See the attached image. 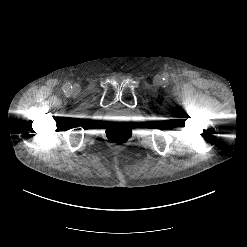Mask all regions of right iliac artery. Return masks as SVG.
<instances>
[{"mask_svg": "<svg viewBox=\"0 0 247 247\" xmlns=\"http://www.w3.org/2000/svg\"><path fill=\"white\" fill-rule=\"evenodd\" d=\"M71 88V85L69 83L65 84L63 89L64 91H68Z\"/></svg>", "mask_w": 247, "mask_h": 247, "instance_id": "1", "label": "right iliac artery"}]
</instances>
